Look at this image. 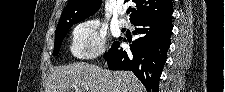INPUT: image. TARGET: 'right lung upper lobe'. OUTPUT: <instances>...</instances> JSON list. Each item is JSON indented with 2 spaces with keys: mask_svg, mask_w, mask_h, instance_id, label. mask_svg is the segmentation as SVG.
<instances>
[{
  "mask_svg": "<svg viewBox=\"0 0 225 92\" xmlns=\"http://www.w3.org/2000/svg\"><path fill=\"white\" fill-rule=\"evenodd\" d=\"M125 0L124 2H127ZM136 3L130 22L145 18L163 17L173 13L171 0H132ZM101 0H69L57 26L70 25L84 20L98 11Z\"/></svg>",
  "mask_w": 225,
  "mask_h": 92,
  "instance_id": "obj_1",
  "label": "right lung upper lobe"
}]
</instances>
